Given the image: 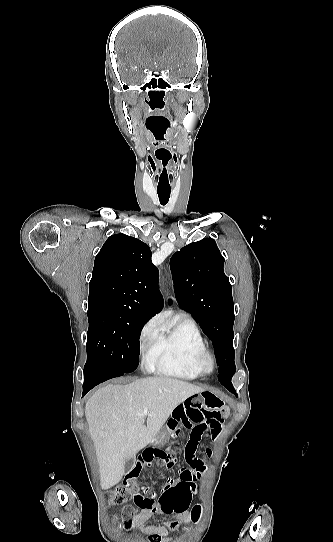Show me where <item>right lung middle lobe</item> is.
Returning a JSON list of instances; mask_svg holds the SVG:
<instances>
[{
	"label": "right lung middle lobe",
	"instance_id": "dd1d6c3e",
	"mask_svg": "<svg viewBox=\"0 0 333 542\" xmlns=\"http://www.w3.org/2000/svg\"><path fill=\"white\" fill-rule=\"evenodd\" d=\"M86 365H101L126 374L138 366L139 337L151 316L115 307L88 308Z\"/></svg>",
	"mask_w": 333,
	"mask_h": 542
}]
</instances>
